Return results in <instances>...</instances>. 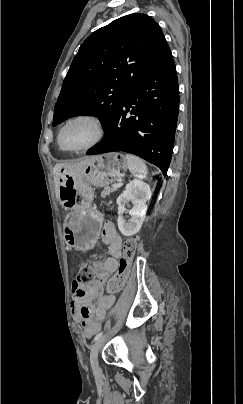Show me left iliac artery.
<instances>
[{
  "label": "left iliac artery",
  "mask_w": 243,
  "mask_h": 404,
  "mask_svg": "<svg viewBox=\"0 0 243 404\" xmlns=\"http://www.w3.org/2000/svg\"><path fill=\"white\" fill-rule=\"evenodd\" d=\"M102 335H103V332H99V333L95 336L94 341L98 340Z\"/></svg>",
  "instance_id": "44dca946"
}]
</instances>
